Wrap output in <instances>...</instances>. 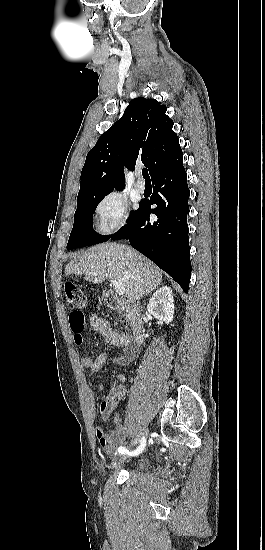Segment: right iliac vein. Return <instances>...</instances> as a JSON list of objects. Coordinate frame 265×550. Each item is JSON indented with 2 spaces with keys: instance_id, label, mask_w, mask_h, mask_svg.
Segmentation results:
<instances>
[{
  "instance_id": "1",
  "label": "right iliac vein",
  "mask_w": 265,
  "mask_h": 550,
  "mask_svg": "<svg viewBox=\"0 0 265 550\" xmlns=\"http://www.w3.org/2000/svg\"><path fill=\"white\" fill-rule=\"evenodd\" d=\"M142 435H143L144 438L147 437V435H148V429H147V428H144V429L142 430ZM121 458H122V459H125L126 457H125V456H122Z\"/></svg>"
}]
</instances>
